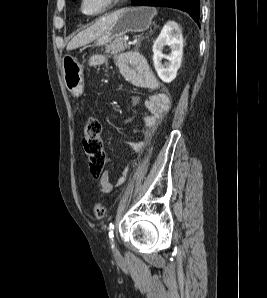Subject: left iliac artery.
<instances>
[{
	"label": "left iliac artery",
	"instance_id": "44dca946",
	"mask_svg": "<svg viewBox=\"0 0 267 298\" xmlns=\"http://www.w3.org/2000/svg\"><path fill=\"white\" fill-rule=\"evenodd\" d=\"M108 230H109V237L111 238V240L113 241V237H114V233H113V230H114V225L113 223L111 222L108 226ZM113 247V245H112Z\"/></svg>",
	"mask_w": 267,
	"mask_h": 298
}]
</instances>
